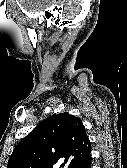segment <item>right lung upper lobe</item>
Wrapping results in <instances>:
<instances>
[{"label": "right lung upper lobe", "instance_id": "1", "mask_svg": "<svg viewBox=\"0 0 127 168\" xmlns=\"http://www.w3.org/2000/svg\"><path fill=\"white\" fill-rule=\"evenodd\" d=\"M90 157L81 120L69 113L40 122L14 148L7 168H75Z\"/></svg>", "mask_w": 127, "mask_h": 168}]
</instances>
